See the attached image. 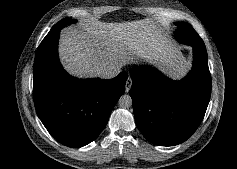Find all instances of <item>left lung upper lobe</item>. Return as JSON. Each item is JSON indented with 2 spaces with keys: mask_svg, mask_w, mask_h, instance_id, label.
<instances>
[{
  "mask_svg": "<svg viewBox=\"0 0 237 169\" xmlns=\"http://www.w3.org/2000/svg\"><path fill=\"white\" fill-rule=\"evenodd\" d=\"M177 30L175 32L176 39L190 46H204V42L193 27L185 22H176Z\"/></svg>",
  "mask_w": 237,
  "mask_h": 169,
  "instance_id": "obj_1",
  "label": "left lung upper lobe"
}]
</instances>
